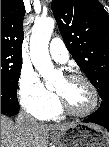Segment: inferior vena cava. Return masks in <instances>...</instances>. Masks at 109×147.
Instances as JSON below:
<instances>
[{
	"instance_id": "602c4592",
	"label": "inferior vena cava",
	"mask_w": 109,
	"mask_h": 147,
	"mask_svg": "<svg viewBox=\"0 0 109 147\" xmlns=\"http://www.w3.org/2000/svg\"><path fill=\"white\" fill-rule=\"evenodd\" d=\"M16 124L20 128L28 129L37 124L36 120L24 111H20L16 120Z\"/></svg>"
}]
</instances>
